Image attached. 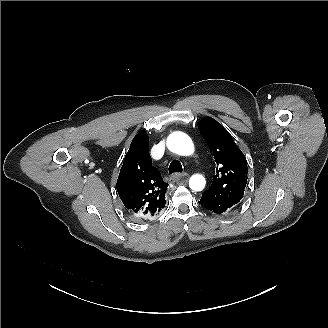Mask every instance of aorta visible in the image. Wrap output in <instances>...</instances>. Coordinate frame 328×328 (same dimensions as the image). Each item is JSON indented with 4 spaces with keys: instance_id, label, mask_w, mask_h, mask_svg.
Instances as JSON below:
<instances>
[{
    "instance_id": "762f6f07",
    "label": "aorta",
    "mask_w": 328,
    "mask_h": 328,
    "mask_svg": "<svg viewBox=\"0 0 328 328\" xmlns=\"http://www.w3.org/2000/svg\"><path fill=\"white\" fill-rule=\"evenodd\" d=\"M167 147L173 153L182 156H190L194 152L191 138L183 132H173L167 138ZM206 184L205 178L200 174H194L189 179V186L194 191H201Z\"/></svg>"
}]
</instances>
